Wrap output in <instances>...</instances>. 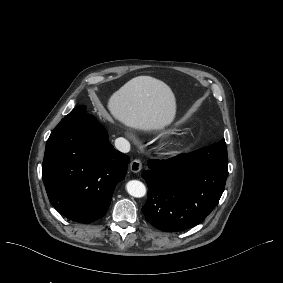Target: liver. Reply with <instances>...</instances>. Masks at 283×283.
<instances>
[{"mask_svg":"<svg viewBox=\"0 0 283 283\" xmlns=\"http://www.w3.org/2000/svg\"><path fill=\"white\" fill-rule=\"evenodd\" d=\"M113 117L124 125L144 130H161L176 114V100L171 88L150 76H138L116 91L108 101Z\"/></svg>","mask_w":283,"mask_h":283,"instance_id":"1","label":"liver"}]
</instances>
